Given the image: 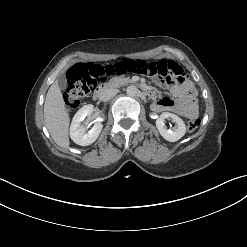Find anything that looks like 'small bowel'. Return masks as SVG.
<instances>
[{
  "instance_id": "small-bowel-1",
  "label": "small bowel",
  "mask_w": 247,
  "mask_h": 247,
  "mask_svg": "<svg viewBox=\"0 0 247 247\" xmlns=\"http://www.w3.org/2000/svg\"><path fill=\"white\" fill-rule=\"evenodd\" d=\"M149 77L154 83L168 89L169 96L156 100L152 109L155 112L169 111L184 118L193 119L198 115V105L193 84L183 68L172 60L147 62L135 71ZM154 95V93H152Z\"/></svg>"
}]
</instances>
